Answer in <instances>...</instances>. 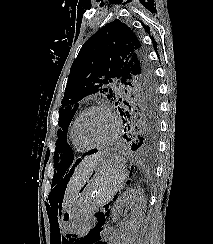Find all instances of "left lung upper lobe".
Returning <instances> with one entry per match:
<instances>
[{
  "label": "left lung upper lobe",
  "mask_w": 213,
  "mask_h": 244,
  "mask_svg": "<svg viewBox=\"0 0 213 244\" xmlns=\"http://www.w3.org/2000/svg\"><path fill=\"white\" fill-rule=\"evenodd\" d=\"M99 94L115 102L120 114L158 122L159 102L154 71L133 30L120 20L103 26L80 49L74 60L59 109L54 166L67 170L73 152L68 126L84 97ZM120 106L123 108H120Z\"/></svg>",
  "instance_id": "left-lung-upper-lobe-1"
}]
</instances>
